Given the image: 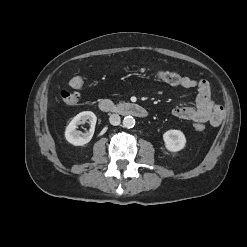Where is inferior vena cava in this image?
<instances>
[{
  "mask_svg": "<svg viewBox=\"0 0 247 247\" xmlns=\"http://www.w3.org/2000/svg\"><path fill=\"white\" fill-rule=\"evenodd\" d=\"M109 122L114 126L119 125L121 122L120 116L118 114L110 115Z\"/></svg>",
  "mask_w": 247,
  "mask_h": 247,
  "instance_id": "obj_1",
  "label": "inferior vena cava"
}]
</instances>
